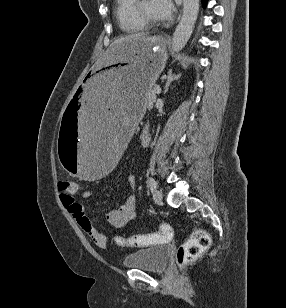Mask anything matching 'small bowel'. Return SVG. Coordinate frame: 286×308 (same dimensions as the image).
Masks as SVG:
<instances>
[{"mask_svg":"<svg viewBox=\"0 0 286 308\" xmlns=\"http://www.w3.org/2000/svg\"><path fill=\"white\" fill-rule=\"evenodd\" d=\"M143 143L146 144L147 140L143 139ZM128 182L130 185H133L134 177L129 176ZM91 195L92 192L89 190H85L81 194L84 199L89 198ZM62 203L66 208H68L70 214L76 220L81 229L98 247L102 249L108 247V237L93 225L89 217L86 215L84 207L76 202L74 197H62ZM136 210L137 199L134 195H129L124 204L108 212L107 221L116 228H124L135 218Z\"/></svg>","mask_w":286,"mask_h":308,"instance_id":"c3829d8e","label":"small bowel"}]
</instances>
